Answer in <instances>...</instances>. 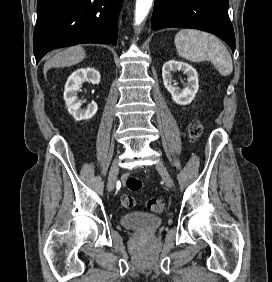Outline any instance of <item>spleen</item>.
<instances>
[{
  "instance_id": "obj_1",
  "label": "spleen",
  "mask_w": 272,
  "mask_h": 282,
  "mask_svg": "<svg viewBox=\"0 0 272 282\" xmlns=\"http://www.w3.org/2000/svg\"><path fill=\"white\" fill-rule=\"evenodd\" d=\"M177 54L186 60L211 61L222 76L233 71L230 53L223 43L213 35L194 29L180 30L174 39Z\"/></svg>"
}]
</instances>
